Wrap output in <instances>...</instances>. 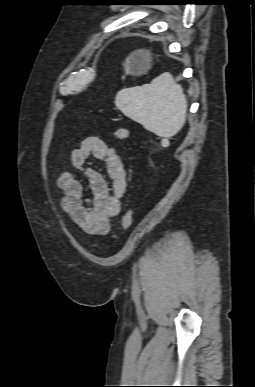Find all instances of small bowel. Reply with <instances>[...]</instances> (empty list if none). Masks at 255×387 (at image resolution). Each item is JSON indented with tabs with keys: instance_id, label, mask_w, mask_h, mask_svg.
I'll return each mask as SVG.
<instances>
[{
	"instance_id": "c3829d8e",
	"label": "small bowel",
	"mask_w": 255,
	"mask_h": 387,
	"mask_svg": "<svg viewBox=\"0 0 255 387\" xmlns=\"http://www.w3.org/2000/svg\"><path fill=\"white\" fill-rule=\"evenodd\" d=\"M72 166L89 182L91 197L84 198V188L71 172L60 174L57 186L62 190L61 207L72 223L88 235H105L110 219L121 210V200L127 188V169L120 153L102 139L89 136L71 151ZM102 160L111 181L87 165L89 158Z\"/></svg>"
}]
</instances>
